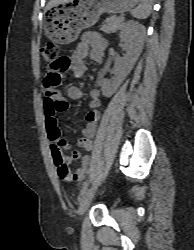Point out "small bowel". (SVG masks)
I'll list each match as a JSON object with an SVG mask.
<instances>
[{
	"label": "small bowel",
	"instance_id": "1",
	"mask_svg": "<svg viewBox=\"0 0 194 250\" xmlns=\"http://www.w3.org/2000/svg\"><path fill=\"white\" fill-rule=\"evenodd\" d=\"M107 46L106 40L97 32H85L81 36V40L75 48L74 52L67 57H63L66 63L62 66L60 71L72 72L76 77H82L86 72V65L84 60L90 57L96 63H102L105 58V49ZM54 72L49 67L43 85L48 96L59 105L52 112L45 110V125L49 139L52 141L54 136L60 137V129L58 126V114L65 111L67 104L56 90L50 87L46 81L47 76ZM107 68H104L99 76L101 90L95 89L90 93L89 109L85 115V126L82 129V137L78 140V146L82 150L91 151L93 147L92 138L96 132L97 122L100 114L101 92H109L112 88V82L105 76ZM67 98L70 100H79L83 96L81 88L78 86H69L66 91ZM64 106H60V104ZM52 156L54 159V149L52 147ZM62 158L66 166L71 164L74 160L81 159V165L74 172H70V179L67 181H81L86 177L88 167L90 165V157L82 155L79 150L73 151L71 154L63 155Z\"/></svg>",
	"mask_w": 194,
	"mask_h": 250
}]
</instances>
